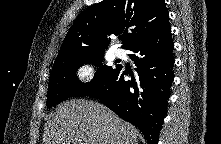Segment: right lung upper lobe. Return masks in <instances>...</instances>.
Segmentation results:
<instances>
[{"instance_id":"cb5924a9","label":"right lung upper lobe","mask_w":221,"mask_h":144,"mask_svg":"<svg viewBox=\"0 0 221 144\" xmlns=\"http://www.w3.org/2000/svg\"><path fill=\"white\" fill-rule=\"evenodd\" d=\"M168 19L164 0H103L93 4L69 29L53 67L103 53L112 34L124 32L122 47L128 49L166 26Z\"/></svg>"}]
</instances>
